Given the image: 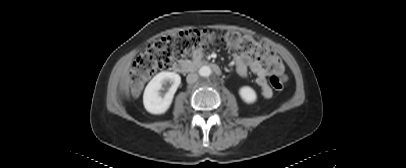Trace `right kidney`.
<instances>
[{"mask_svg":"<svg viewBox=\"0 0 406 168\" xmlns=\"http://www.w3.org/2000/svg\"><path fill=\"white\" fill-rule=\"evenodd\" d=\"M180 83L181 77L177 73L168 71L158 73L145 88L143 95L145 109L151 114L165 113L169 109ZM168 84H170L169 90L162 97L160 90L163 85Z\"/></svg>","mask_w":406,"mask_h":168,"instance_id":"right-kidney-1","label":"right kidney"}]
</instances>
